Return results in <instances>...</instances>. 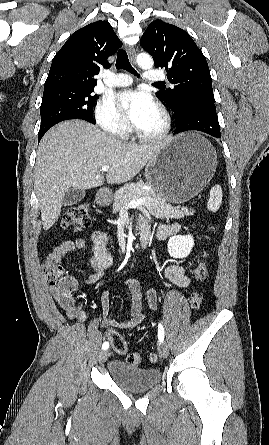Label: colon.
Instances as JSON below:
<instances>
[{"label":"colon","mask_w":269,"mask_h":445,"mask_svg":"<svg viewBox=\"0 0 269 445\" xmlns=\"http://www.w3.org/2000/svg\"><path fill=\"white\" fill-rule=\"evenodd\" d=\"M91 224L90 206L87 203H79L70 207L63 215L61 225L63 228H71L76 231L86 229ZM43 273L46 284L51 288L59 289L64 293L63 299L68 302V295L71 294L76 284L65 276L62 268L58 264H54L46 260L43 265ZM193 279L198 285L207 282L209 277V268L207 263V255L204 253L194 268ZM190 305L193 309H198L203 302V294L200 289H195L190 295ZM112 348L119 354L128 352V345L124 338L117 332L111 330L107 333ZM150 363L158 361V355L154 352L148 355ZM126 362L131 366H139L142 362L141 355L138 353H128Z\"/></svg>","instance_id":"obj_1"}]
</instances>
